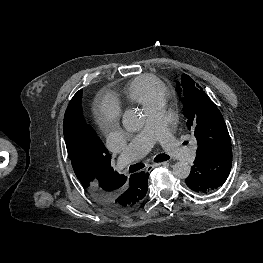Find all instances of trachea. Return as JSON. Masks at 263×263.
Here are the masks:
<instances>
[{"label": "trachea", "mask_w": 263, "mask_h": 263, "mask_svg": "<svg viewBox=\"0 0 263 263\" xmlns=\"http://www.w3.org/2000/svg\"><path fill=\"white\" fill-rule=\"evenodd\" d=\"M170 157L166 154H159L154 158V162H163L168 160ZM145 165L143 163H137L129 167V172L133 173L142 169Z\"/></svg>", "instance_id": "1"}]
</instances>
